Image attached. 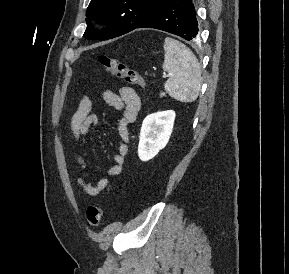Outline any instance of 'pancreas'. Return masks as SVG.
I'll return each instance as SVG.
<instances>
[{"instance_id": "1", "label": "pancreas", "mask_w": 289, "mask_h": 274, "mask_svg": "<svg viewBox=\"0 0 289 274\" xmlns=\"http://www.w3.org/2000/svg\"><path fill=\"white\" fill-rule=\"evenodd\" d=\"M161 96H165V94H164V93H161Z\"/></svg>"}]
</instances>
